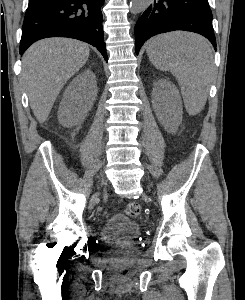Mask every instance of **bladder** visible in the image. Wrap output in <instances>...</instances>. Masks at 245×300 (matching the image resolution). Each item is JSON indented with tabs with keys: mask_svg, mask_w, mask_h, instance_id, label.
<instances>
[{
	"mask_svg": "<svg viewBox=\"0 0 245 300\" xmlns=\"http://www.w3.org/2000/svg\"><path fill=\"white\" fill-rule=\"evenodd\" d=\"M140 234V225L124 216L114 215L104 222L100 238L109 244H127L135 241Z\"/></svg>",
	"mask_w": 245,
	"mask_h": 300,
	"instance_id": "bladder-1",
	"label": "bladder"
}]
</instances>
